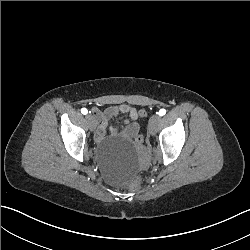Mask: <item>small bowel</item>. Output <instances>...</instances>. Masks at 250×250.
<instances>
[{
  "label": "small bowel",
  "mask_w": 250,
  "mask_h": 250,
  "mask_svg": "<svg viewBox=\"0 0 250 250\" xmlns=\"http://www.w3.org/2000/svg\"><path fill=\"white\" fill-rule=\"evenodd\" d=\"M94 113L99 120V126L95 132V138L98 141L102 140L105 136L108 120L119 114L128 115L125 126L122 129L111 127L110 133L112 135H122L125 138H135L139 134L140 128L136 123L138 111L137 108L132 105L122 104L119 106H111L104 113H101L98 110H95Z\"/></svg>",
  "instance_id": "c3829d8e"
}]
</instances>
